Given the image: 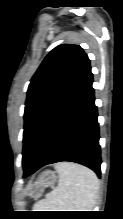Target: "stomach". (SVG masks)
<instances>
[{"instance_id": "stomach-1", "label": "stomach", "mask_w": 123, "mask_h": 219, "mask_svg": "<svg viewBox=\"0 0 123 219\" xmlns=\"http://www.w3.org/2000/svg\"><path fill=\"white\" fill-rule=\"evenodd\" d=\"M59 181V176L55 172L46 170L42 172L38 180L32 185L31 196L39 198L44 192L45 188L53 187Z\"/></svg>"}]
</instances>
